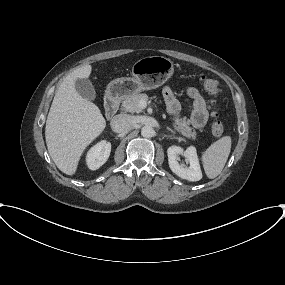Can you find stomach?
<instances>
[{
  "label": "stomach",
  "instance_id": "0dacf381",
  "mask_svg": "<svg viewBox=\"0 0 285 285\" xmlns=\"http://www.w3.org/2000/svg\"><path fill=\"white\" fill-rule=\"evenodd\" d=\"M174 73L173 62L163 56L141 58L132 67V77H121L111 81L106 94L112 98H126L144 90L163 85Z\"/></svg>",
  "mask_w": 285,
  "mask_h": 285
}]
</instances>
